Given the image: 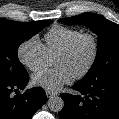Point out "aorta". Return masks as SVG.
Listing matches in <instances>:
<instances>
[{
    "label": "aorta",
    "instance_id": "obj_1",
    "mask_svg": "<svg viewBox=\"0 0 119 119\" xmlns=\"http://www.w3.org/2000/svg\"><path fill=\"white\" fill-rule=\"evenodd\" d=\"M48 107L53 112H60L64 107V101L59 96L51 97L48 100Z\"/></svg>",
    "mask_w": 119,
    "mask_h": 119
}]
</instances>
